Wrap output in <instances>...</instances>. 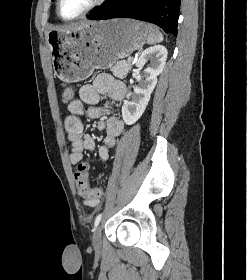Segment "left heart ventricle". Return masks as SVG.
Returning <instances> with one entry per match:
<instances>
[{
  "label": "left heart ventricle",
  "mask_w": 247,
  "mask_h": 280,
  "mask_svg": "<svg viewBox=\"0 0 247 280\" xmlns=\"http://www.w3.org/2000/svg\"><path fill=\"white\" fill-rule=\"evenodd\" d=\"M94 0H62L61 1V14L65 18H72L80 14Z\"/></svg>",
  "instance_id": "left-heart-ventricle-1"
}]
</instances>
